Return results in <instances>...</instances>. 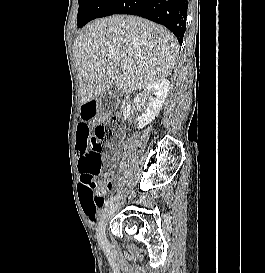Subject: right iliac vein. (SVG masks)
<instances>
[{
	"label": "right iliac vein",
	"instance_id": "right-iliac-vein-1",
	"mask_svg": "<svg viewBox=\"0 0 265 273\" xmlns=\"http://www.w3.org/2000/svg\"><path fill=\"white\" fill-rule=\"evenodd\" d=\"M119 207V204L108 206L104 209L102 212V215L100 216L98 226H97V240L100 246L106 247L108 245V241L106 238V225L109 220V218L114 214V212Z\"/></svg>",
	"mask_w": 265,
	"mask_h": 273
}]
</instances>
